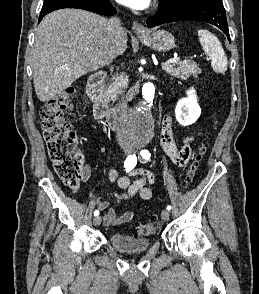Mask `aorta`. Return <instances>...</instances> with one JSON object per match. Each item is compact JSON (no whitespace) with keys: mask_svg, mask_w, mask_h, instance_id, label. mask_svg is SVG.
Instances as JSON below:
<instances>
[{"mask_svg":"<svg viewBox=\"0 0 259 294\" xmlns=\"http://www.w3.org/2000/svg\"><path fill=\"white\" fill-rule=\"evenodd\" d=\"M155 87L145 83L142 87L143 104L128 111L122 119L121 128L124 134L135 142L146 143L153 137L154 120L148 106L153 101Z\"/></svg>","mask_w":259,"mask_h":294,"instance_id":"obj_1","label":"aorta"}]
</instances>
